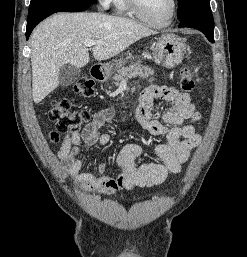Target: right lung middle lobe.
I'll return each instance as SVG.
<instances>
[{"mask_svg": "<svg viewBox=\"0 0 247 257\" xmlns=\"http://www.w3.org/2000/svg\"><path fill=\"white\" fill-rule=\"evenodd\" d=\"M53 3H78V4H93L95 0H31L29 11L42 5Z\"/></svg>", "mask_w": 247, "mask_h": 257, "instance_id": "obj_1", "label": "right lung middle lobe"}]
</instances>
